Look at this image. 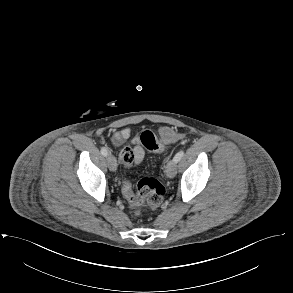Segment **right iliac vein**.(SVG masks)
Here are the masks:
<instances>
[{"mask_svg":"<svg viewBox=\"0 0 293 293\" xmlns=\"http://www.w3.org/2000/svg\"><path fill=\"white\" fill-rule=\"evenodd\" d=\"M107 163H108V167H109L110 171H116L117 161H116V158L112 154H109L107 156Z\"/></svg>","mask_w":293,"mask_h":293,"instance_id":"1","label":"right iliac vein"}]
</instances>
